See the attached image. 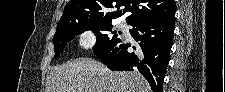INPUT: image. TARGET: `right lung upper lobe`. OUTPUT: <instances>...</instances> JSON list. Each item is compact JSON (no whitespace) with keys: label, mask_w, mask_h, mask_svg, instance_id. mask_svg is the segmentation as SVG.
<instances>
[{"label":"right lung upper lobe","mask_w":225,"mask_h":92,"mask_svg":"<svg viewBox=\"0 0 225 92\" xmlns=\"http://www.w3.org/2000/svg\"><path fill=\"white\" fill-rule=\"evenodd\" d=\"M113 7L124 9L112 11ZM128 11L131 12L126 18L129 25L144 20L168 19L175 15V2L174 0H70L57 24V29L80 20L111 22Z\"/></svg>","instance_id":"right-lung-upper-lobe-1"}]
</instances>
